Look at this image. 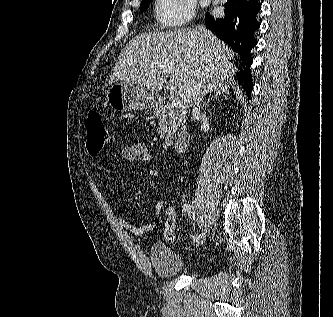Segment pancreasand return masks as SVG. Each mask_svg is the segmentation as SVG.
<instances>
[{
    "label": "pancreas",
    "mask_w": 333,
    "mask_h": 317,
    "mask_svg": "<svg viewBox=\"0 0 333 317\" xmlns=\"http://www.w3.org/2000/svg\"><path fill=\"white\" fill-rule=\"evenodd\" d=\"M155 118L158 119V133L165 139L166 143L170 142L174 134L183 128L186 117L181 112L173 108L170 104L155 108Z\"/></svg>",
    "instance_id": "obj_1"
}]
</instances>
